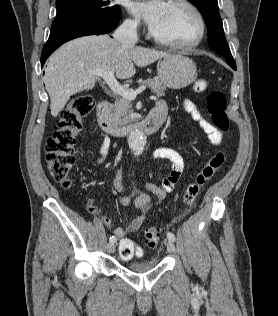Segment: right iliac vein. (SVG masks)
Masks as SVG:
<instances>
[{
  "mask_svg": "<svg viewBox=\"0 0 278 316\" xmlns=\"http://www.w3.org/2000/svg\"><path fill=\"white\" fill-rule=\"evenodd\" d=\"M107 251H108L109 253H114V251H115V245H114V243L110 242V243L107 245Z\"/></svg>",
  "mask_w": 278,
  "mask_h": 316,
  "instance_id": "1",
  "label": "right iliac vein"
}]
</instances>
